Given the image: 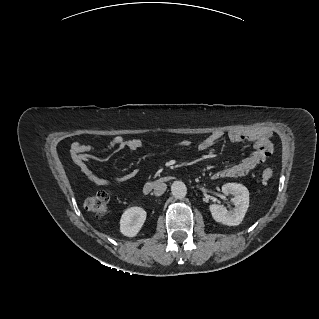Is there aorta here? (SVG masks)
I'll return each mask as SVG.
<instances>
[{
	"mask_svg": "<svg viewBox=\"0 0 319 319\" xmlns=\"http://www.w3.org/2000/svg\"><path fill=\"white\" fill-rule=\"evenodd\" d=\"M172 195L177 199H182L187 194V187L182 181H174L171 185Z\"/></svg>",
	"mask_w": 319,
	"mask_h": 319,
	"instance_id": "obj_1",
	"label": "aorta"
}]
</instances>
